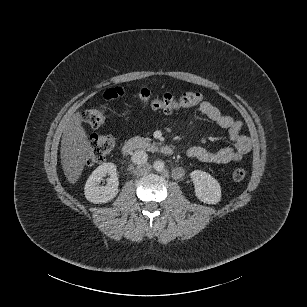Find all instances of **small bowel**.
<instances>
[{"instance_id":"obj_1","label":"small bowel","mask_w":307,"mask_h":307,"mask_svg":"<svg viewBox=\"0 0 307 307\" xmlns=\"http://www.w3.org/2000/svg\"><path fill=\"white\" fill-rule=\"evenodd\" d=\"M201 113L213 124L226 129L231 146L223 147L217 151H209L204 147L194 146L186 151L189 158L207 164H228L242 159L251 150L250 138L241 132L242 122L222 113L214 104L204 101L199 105Z\"/></svg>"}]
</instances>
